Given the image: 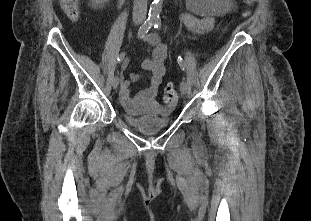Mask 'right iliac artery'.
Instances as JSON below:
<instances>
[{"instance_id":"right-iliac-artery-1","label":"right iliac artery","mask_w":311,"mask_h":221,"mask_svg":"<svg viewBox=\"0 0 311 221\" xmlns=\"http://www.w3.org/2000/svg\"><path fill=\"white\" fill-rule=\"evenodd\" d=\"M154 20L148 19L146 20L139 28L138 30V38H143L149 31V29L153 26ZM125 58V52H122L118 58L117 61L118 63H121Z\"/></svg>"}]
</instances>
